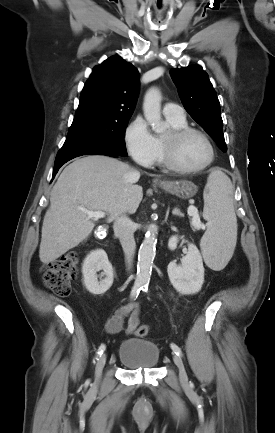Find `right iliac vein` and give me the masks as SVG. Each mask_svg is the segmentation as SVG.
<instances>
[{
  "instance_id": "obj_1",
  "label": "right iliac vein",
  "mask_w": 275,
  "mask_h": 433,
  "mask_svg": "<svg viewBox=\"0 0 275 433\" xmlns=\"http://www.w3.org/2000/svg\"><path fill=\"white\" fill-rule=\"evenodd\" d=\"M105 363H106V354H103L99 357V359L96 363V367H95V380H96V382L100 381Z\"/></svg>"
}]
</instances>
